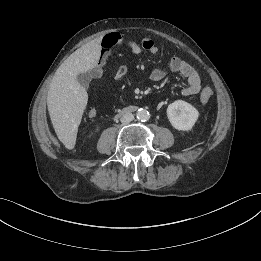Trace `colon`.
Segmentation results:
<instances>
[{
  "mask_svg": "<svg viewBox=\"0 0 261 261\" xmlns=\"http://www.w3.org/2000/svg\"><path fill=\"white\" fill-rule=\"evenodd\" d=\"M213 96V90L210 87H204L200 94V101L206 105Z\"/></svg>",
  "mask_w": 261,
  "mask_h": 261,
  "instance_id": "colon-1",
  "label": "colon"
}]
</instances>
